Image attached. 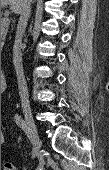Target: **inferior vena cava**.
<instances>
[{
	"label": "inferior vena cava",
	"mask_w": 109,
	"mask_h": 170,
	"mask_svg": "<svg viewBox=\"0 0 109 170\" xmlns=\"http://www.w3.org/2000/svg\"><path fill=\"white\" fill-rule=\"evenodd\" d=\"M32 0H24L22 5V10L20 11V18L17 26V32L15 36V42L13 47V63L16 70L17 82L19 88V96L21 99L22 106L29 108V93L27 89V84L24 76L23 66H22V36L25 31L27 21L30 14Z\"/></svg>",
	"instance_id": "obj_1"
}]
</instances>
